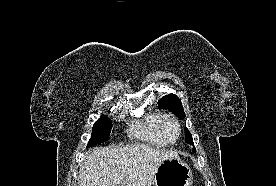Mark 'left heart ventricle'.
Segmentation results:
<instances>
[{"label": "left heart ventricle", "mask_w": 276, "mask_h": 186, "mask_svg": "<svg viewBox=\"0 0 276 186\" xmlns=\"http://www.w3.org/2000/svg\"><path fill=\"white\" fill-rule=\"evenodd\" d=\"M166 133L170 139H176L178 131L173 124L169 123L166 125Z\"/></svg>", "instance_id": "b2bd125f"}]
</instances>
